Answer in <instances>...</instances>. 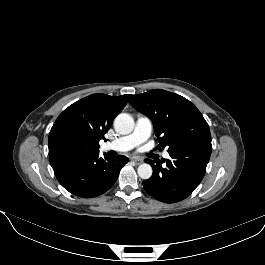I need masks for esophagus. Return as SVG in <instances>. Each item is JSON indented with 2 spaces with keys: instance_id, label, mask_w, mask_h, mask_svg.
Returning a JSON list of instances; mask_svg holds the SVG:
<instances>
[{
  "instance_id": "34e87169",
  "label": "esophagus",
  "mask_w": 265,
  "mask_h": 265,
  "mask_svg": "<svg viewBox=\"0 0 265 265\" xmlns=\"http://www.w3.org/2000/svg\"><path fill=\"white\" fill-rule=\"evenodd\" d=\"M132 161L135 162L137 165L143 163V160L141 158H132Z\"/></svg>"
}]
</instances>
